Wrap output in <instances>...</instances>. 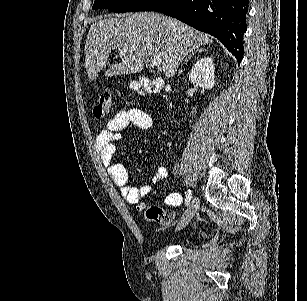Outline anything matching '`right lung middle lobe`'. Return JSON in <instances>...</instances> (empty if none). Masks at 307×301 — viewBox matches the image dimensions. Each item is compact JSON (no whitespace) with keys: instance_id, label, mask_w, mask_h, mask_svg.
Instances as JSON below:
<instances>
[{"instance_id":"right-lung-middle-lobe-1","label":"right lung middle lobe","mask_w":307,"mask_h":301,"mask_svg":"<svg viewBox=\"0 0 307 301\" xmlns=\"http://www.w3.org/2000/svg\"><path fill=\"white\" fill-rule=\"evenodd\" d=\"M155 0H95L92 9L107 8L115 13L143 11Z\"/></svg>"}]
</instances>
